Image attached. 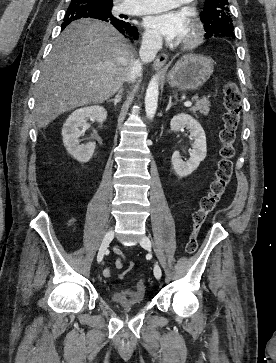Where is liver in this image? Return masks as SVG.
Here are the masks:
<instances>
[{"label": "liver", "mask_w": 276, "mask_h": 363, "mask_svg": "<svg viewBox=\"0 0 276 363\" xmlns=\"http://www.w3.org/2000/svg\"><path fill=\"white\" fill-rule=\"evenodd\" d=\"M134 56L132 46L109 23H71L41 67L35 91L37 126L45 128L67 111L112 97L128 80Z\"/></svg>", "instance_id": "liver-1"}]
</instances>
